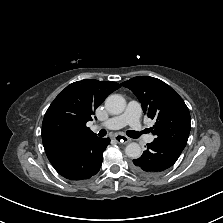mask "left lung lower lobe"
<instances>
[{
	"label": "left lung lower lobe",
	"mask_w": 223,
	"mask_h": 223,
	"mask_svg": "<svg viewBox=\"0 0 223 223\" xmlns=\"http://www.w3.org/2000/svg\"><path fill=\"white\" fill-rule=\"evenodd\" d=\"M183 148L165 141H153L140 158L134 159L132 168L142 176H154L171 167Z\"/></svg>",
	"instance_id": "left-lung-lower-lobe-1"
}]
</instances>
